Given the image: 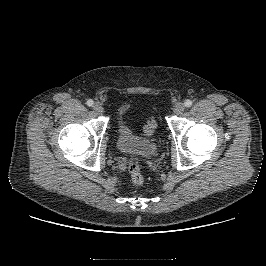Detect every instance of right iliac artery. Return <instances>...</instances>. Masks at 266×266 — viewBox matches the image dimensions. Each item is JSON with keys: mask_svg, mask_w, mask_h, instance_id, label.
I'll use <instances>...</instances> for the list:
<instances>
[{"mask_svg": "<svg viewBox=\"0 0 266 266\" xmlns=\"http://www.w3.org/2000/svg\"><path fill=\"white\" fill-rule=\"evenodd\" d=\"M87 105H88V106H93V101H92L91 99H89V100L87 101Z\"/></svg>", "mask_w": 266, "mask_h": 266, "instance_id": "82829eb1", "label": "right iliac artery"}]
</instances>
